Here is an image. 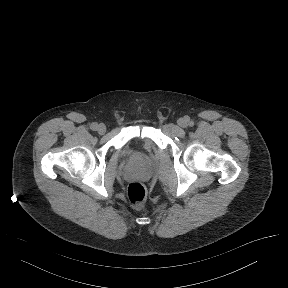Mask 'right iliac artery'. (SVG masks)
I'll list each match as a JSON object with an SVG mask.
<instances>
[{"label":"right iliac artery","instance_id":"82829eb1","mask_svg":"<svg viewBox=\"0 0 288 288\" xmlns=\"http://www.w3.org/2000/svg\"><path fill=\"white\" fill-rule=\"evenodd\" d=\"M97 126H98L97 123H92V124H91V129H92V130H97Z\"/></svg>","mask_w":288,"mask_h":288}]
</instances>
